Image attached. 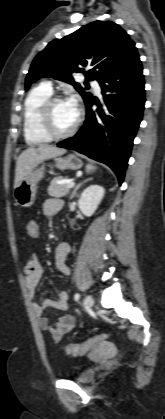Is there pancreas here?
Returning <instances> with one entry per match:
<instances>
[{"instance_id":"1","label":"pancreas","mask_w":165,"mask_h":419,"mask_svg":"<svg viewBox=\"0 0 165 419\" xmlns=\"http://www.w3.org/2000/svg\"><path fill=\"white\" fill-rule=\"evenodd\" d=\"M64 177L57 176L53 178L50 182V185L47 189L48 194L52 197H63L66 196L70 188H67V184H58V181L63 180Z\"/></svg>"}]
</instances>
